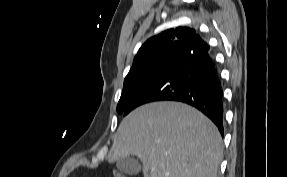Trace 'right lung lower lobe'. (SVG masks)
Instances as JSON below:
<instances>
[{"label":"right lung lower lobe","mask_w":287,"mask_h":177,"mask_svg":"<svg viewBox=\"0 0 287 177\" xmlns=\"http://www.w3.org/2000/svg\"><path fill=\"white\" fill-rule=\"evenodd\" d=\"M196 50L152 82L125 110L153 101H179L189 104L218 127L223 135V90L209 46L199 36Z\"/></svg>","instance_id":"1"}]
</instances>
